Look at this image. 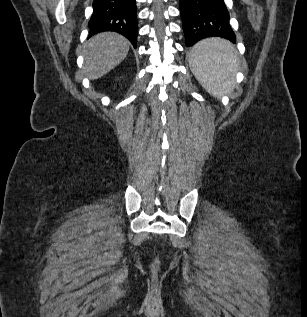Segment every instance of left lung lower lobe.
<instances>
[{"mask_svg":"<svg viewBox=\"0 0 307 317\" xmlns=\"http://www.w3.org/2000/svg\"><path fill=\"white\" fill-rule=\"evenodd\" d=\"M186 47L207 37H221L236 43L224 0H179Z\"/></svg>","mask_w":307,"mask_h":317,"instance_id":"0a47b994","label":"left lung lower lobe"}]
</instances>
